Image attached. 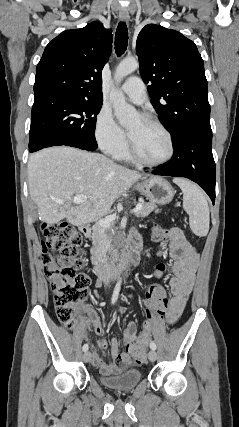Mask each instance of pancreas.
Listing matches in <instances>:
<instances>
[{
	"mask_svg": "<svg viewBox=\"0 0 239 427\" xmlns=\"http://www.w3.org/2000/svg\"><path fill=\"white\" fill-rule=\"evenodd\" d=\"M152 211H155V213L160 212L154 203H143L142 209L136 213V216L143 218L148 216ZM113 235L114 230L112 228H103L98 224L93 227L92 241L95 253L99 258L106 257V254L112 251L111 240Z\"/></svg>",
	"mask_w": 239,
	"mask_h": 427,
	"instance_id": "1",
	"label": "pancreas"
}]
</instances>
